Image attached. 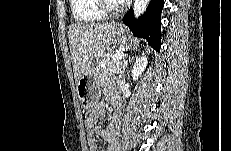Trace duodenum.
I'll return each mask as SVG.
<instances>
[{
  "label": "duodenum",
  "mask_w": 231,
  "mask_h": 151,
  "mask_svg": "<svg viewBox=\"0 0 231 151\" xmlns=\"http://www.w3.org/2000/svg\"><path fill=\"white\" fill-rule=\"evenodd\" d=\"M114 105V108H115V117L119 116L120 115V105L119 103H113Z\"/></svg>",
  "instance_id": "410a0bca"
}]
</instances>
